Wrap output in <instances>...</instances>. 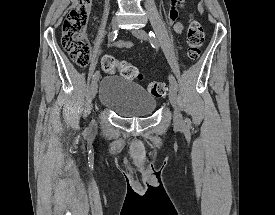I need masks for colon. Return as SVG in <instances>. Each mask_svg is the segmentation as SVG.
<instances>
[{
  "mask_svg": "<svg viewBox=\"0 0 275 215\" xmlns=\"http://www.w3.org/2000/svg\"><path fill=\"white\" fill-rule=\"evenodd\" d=\"M92 0H78L68 11L62 24V45L72 61L79 66H86L90 62L91 51L86 36L89 11ZM205 33L202 24L191 20L187 29L186 54L191 61L198 60L200 48L204 42ZM102 70L107 74H113L120 70L126 79H142L138 68L126 61H118L110 55L101 60ZM147 90L154 97L160 98L167 94V87L163 82L150 81Z\"/></svg>",
  "mask_w": 275,
  "mask_h": 215,
  "instance_id": "1",
  "label": "colon"
}]
</instances>
